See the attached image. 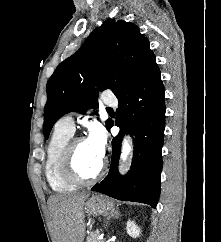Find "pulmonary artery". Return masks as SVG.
I'll list each match as a JSON object with an SVG mask.
<instances>
[{
    "mask_svg": "<svg viewBox=\"0 0 221 242\" xmlns=\"http://www.w3.org/2000/svg\"><path fill=\"white\" fill-rule=\"evenodd\" d=\"M103 103L106 105H115L116 104V100L114 98L111 99H104ZM59 129L63 130V131H67L71 134L74 133L75 131V125H74V118L72 115H66L64 117H62L57 125H56Z\"/></svg>",
    "mask_w": 221,
    "mask_h": 242,
    "instance_id": "pulmonary-artery-1",
    "label": "pulmonary artery"
}]
</instances>
